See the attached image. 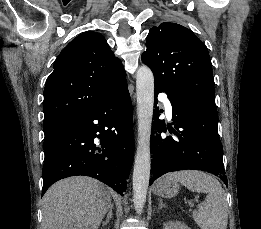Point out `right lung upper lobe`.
Instances as JSON below:
<instances>
[{"instance_id": "cb5924a9", "label": "right lung upper lobe", "mask_w": 261, "mask_h": 229, "mask_svg": "<svg viewBox=\"0 0 261 229\" xmlns=\"http://www.w3.org/2000/svg\"><path fill=\"white\" fill-rule=\"evenodd\" d=\"M121 61L105 38L85 32L58 55L44 89V130H60L90 113L127 84Z\"/></svg>"}]
</instances>
